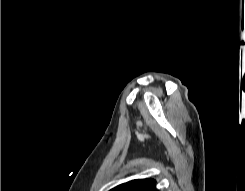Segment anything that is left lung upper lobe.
Returning <instances> with one entry per match:
<instances>
[{
	"label": "left lung upper lobe",
	"mask_w": 245,
	"mask_h": 191,
	"mask_svg": "<svg viewBox=\"0 0 245 191\" xmlns=\"http://www.w3.org/2000/svg\"><path fill=\"white\" fill-rule=\"evenodd\" d=\"M110 191H158L156 181L151 178L134 179L120 184Z\"/></svg>",
	"instance_id": "left-lung-upper-lobe-1"
}]
</instances>
